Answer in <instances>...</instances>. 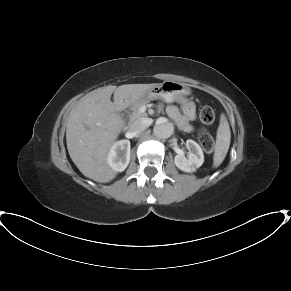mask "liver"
<instances>
[{"mask_svg": "<svg viewBox=\"0 0 291 291\" xmlns=\"http://www.w3.org/2000/svg\"><path fill=\"white\" fill-rule=\"evenodd\" d=\"M155 84L105 86L82 97L70 111L66 143L70 158L80 172L99 183L116 177L107 156L123 128L116 113L146 97ZM114 94V102L111 95Z\"/></svg>", "mask_w": 291, "mask_h": 291, "instance_id": "obj_1", "label": "liver"}]
</instances>
